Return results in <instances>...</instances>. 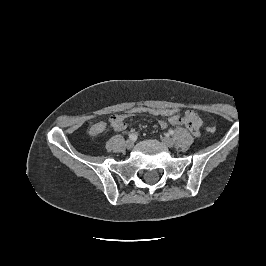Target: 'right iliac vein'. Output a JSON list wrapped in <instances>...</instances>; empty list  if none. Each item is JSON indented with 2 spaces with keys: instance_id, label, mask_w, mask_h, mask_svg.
I'll list each match as a JSON object with an SVG mask.
<instances>
[{
  "instance_id": "63e3f726",
  "label": "right iliac vein",
  "mask_w": 266,
  "mask_h": 266,
  "mask_svg": "<svg viewBox=\"0 0 266 266\" xmlns=\"http://www.w3.org/2000/svg\"><path fill=\"white\" fill-rule=\"evenodd\" d=\"M125 146H126V148L131 149V148L134 146V141L131 140V139H128V140L125 142Z\"/></svg>"
}]
</instances>
